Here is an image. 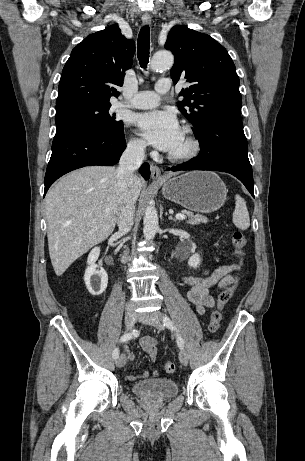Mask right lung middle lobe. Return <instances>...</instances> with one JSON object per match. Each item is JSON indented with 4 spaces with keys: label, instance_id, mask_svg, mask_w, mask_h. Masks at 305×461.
<instances>
[{
    "label": "right lung middle lobe",
    "instance_id": "dd1d6c3e",
    "mask_svg": "<svg viewBox=\"0 0 305 461\" xmlns=\"http://www.w3.org/2000/svg\"><path fill=\"white\" fill-rule=\"evenodd\" d=\"M110 103L80 102L56 108V127L79 125L97 131L115 132L123 127L122 121H116L109 114Z\"/></svg>",
    "mask_w": 305,
    "mask_h": 461
}]
</instances>
